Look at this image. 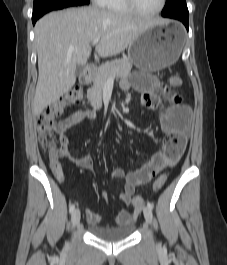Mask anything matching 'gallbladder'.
<instances>
[{"instance_id":"bac80fb5","label":"gallbladder","mask_w":227,"mask_h":265,"mask_svg":"<svg viewBox=\"0 0 227 265\" xmlns=\"http://www.w3.org/2000/svg\"><path fill=\"white\" fill-rule=\"evenodd\" d=\"M83 68H84L83 65H78L76 67V75H80L83 71Z\"/></svg>"}]
</instances>
